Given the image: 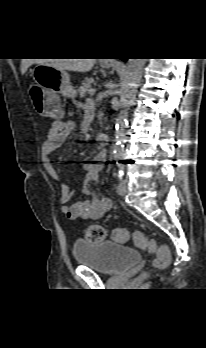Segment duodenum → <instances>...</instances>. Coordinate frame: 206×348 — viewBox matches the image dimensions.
Instances as JSON below:
<instances>
[{
    "label": "duodenum",
    "mask_w": 206,
    "mask_h": 348,
    "mask_svg": "<svg viewBox=\"0 0 206 348\" xmlns=\"http://www.w3.org/2000/svg\"><path fill=\"white\" fill-rule=\"evenodd\" d=\"M109 138H110V135L108 132H100L97 135V141L101 143L107 142Z\"/></svg>",
    "instance_id": "duodenum-1"
}]
</instances>
